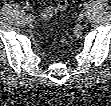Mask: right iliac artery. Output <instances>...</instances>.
Listing matches in <instances>:
<instances>
[{"mask_svg":"<svg viewBox=\"0 0 111 106\" xmlns=\"http://www.w3.org/2000/svg\"><path fill=\"white\" fill-rule=\"evenodd\" d=\"M31 14L29 13V9H27V15H26V18L30 17Z\"/></svg>","mask_w":111,"mask_h":106,"instance_id":"right-iliac-artery-1","label":"right iliac artery"}]
</instances>
